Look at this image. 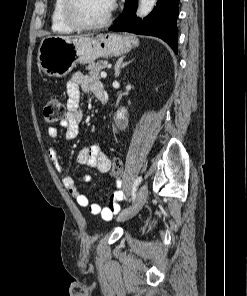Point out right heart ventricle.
Returning <instances> with one entry per match:
<instances>
[{
	"label": "right heart ventricle",
	"mask_w": 247,
	"mask_h": 296,
	"mask_svg": "<svg viewBox=\"0 0 247 296\" xmlns=\"http://www.w3.org/2000/svg\"><path fill=\"white\" fill-rule=\"evenodd\" d=\"M65 0H54L51 12V29L59 34H70L75 30L70 27L63 16Z\"/></svg>",
	"instance_id": "1"
}]
</instances>
